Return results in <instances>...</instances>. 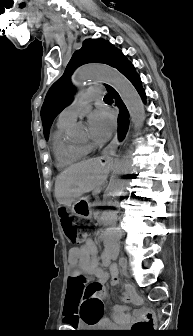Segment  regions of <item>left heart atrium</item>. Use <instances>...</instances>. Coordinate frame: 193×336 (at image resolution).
<instances>
[{"label":"left heart atrium","instance_id":"left-heart-atrium-1","mask_svg":"<svg viewBox=\"0 0 193 336\" xmlns=\"http://www.w3.org/2000/svg\"><path fill=\"white\" fill-rule=\"evenodd\" d=\"M87 123L91 138L99 143L106 141L115 127V119L106 109L93 111L89 115Z\"/></svg>","mask_w":193,"mask_h":336}]
</instances>
